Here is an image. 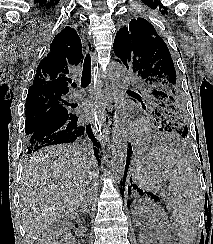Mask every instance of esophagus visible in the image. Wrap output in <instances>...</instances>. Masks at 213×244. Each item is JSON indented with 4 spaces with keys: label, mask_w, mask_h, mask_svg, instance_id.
Instances as JSON below:
<instances>
[{
    "label": "esophagus",
    "mask_w": 213,
    "mask_h": 244,
    "mask_svg": "<svg viewBox=\"0 0 213 244\" xmlns=\"http://www.w3.org/2000/svg\"><path fill=\"white\" fill-rule=\"evenodd\" d=\"M89 48V46H87ZM93 65H94V80L97 86L96 98L98 101L102 102L105 106L102 114L99 117V126L104 128L103 132L108 134V129L117 127V110L113 108L114 98L111 95H107L104 89V83L102 79V74L98 70L96 51L93 49V45H90Z\"/></svg>",
    "instance_id": "34e87169"
}]
</instances>
